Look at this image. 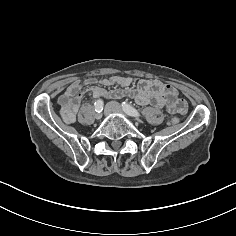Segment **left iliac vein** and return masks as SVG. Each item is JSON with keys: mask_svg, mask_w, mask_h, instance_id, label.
<instances>
[{"mask_svg": "<svg viewBox=\"0 0 236 236\" xmlns=\"http://www.w3.org/2000/svg\"><path fill=\"white\" fill-rule=\"evenodd\" d=\"M111 105L113 107V110L112 112H115V113H120L122 114L123 113V109L121 107V105L117 102H111Z\"/></svg>", "mask_w": 236, "mask_h": 236, "instance_id": "1", "label": "left iliac vein"}]
</instances>
